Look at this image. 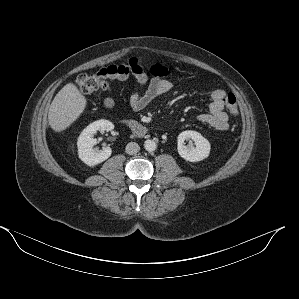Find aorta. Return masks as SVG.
Wrapping results in <instances>:
<instances>
[{
	"mask_svg": "<svg viewBox=\"0 0 299 299\" xmlns=\"http://www.w3.org/2000/svg\"><path fill=\"white\" fill-rule=\"evenodd\" d=\"M144 148H145V150L146 151H148V152H153V151H155L156 150V148H157V144H156V142L154 141V140H146L145 142H144Z\"/></svg>",
	"mask_w": 299,
	"mask_h": 299,
	"instance_id": "762f6f07",
	"label": "aorta"
}]
</instances>
